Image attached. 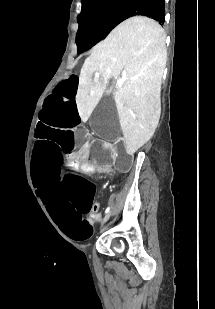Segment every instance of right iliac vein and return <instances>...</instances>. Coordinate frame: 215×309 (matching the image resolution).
<instances>
[{
    "label": "right iliac vein",
    "instance_id": "63e3f726",
    "mask_svg": "<svg viewBox=\"0 0 215 309\" xmlns=\"http://www.w3.org/2000/svg\"><path fill=\"white\" fill-rule=\"evenodd\" d=\"M111 215H112V211L108 212L105 218L103 219V222H106L110 218Z\"/></svg>",
    "mask_w": 215,
    "mask_h": 309
}]
</instances>
